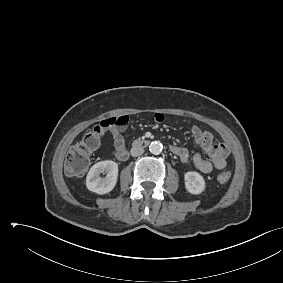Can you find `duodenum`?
I'll return each mask as SVG.
<instances>
[{"instance_id": "duodenum-1", "label": "duodenum", "mask_w": 283, "mask_h": 283, "mask_svg": "<svg viewBox=\"0 0 283 283\" xmlns=\"http://www.w3.org/2000/svg\"><path fill=\"white\" fill-rule=\"evenodd\" d=\"M149 145L148 140H137L133 143L134 147H146Z\"/></svg>"}]
</instances>
